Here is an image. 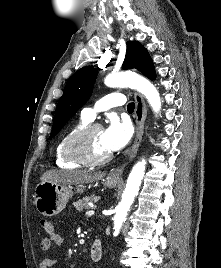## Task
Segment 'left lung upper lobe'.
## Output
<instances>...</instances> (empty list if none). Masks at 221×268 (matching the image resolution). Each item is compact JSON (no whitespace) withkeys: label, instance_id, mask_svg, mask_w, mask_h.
<instances>
[{"label":"left lung upper lobe","instance_id":"left-lung-upper-lobe-1","mask_svg":"<svg viewBox=\"0 0 221 268\" xmlns=\"http://www.w3.org/2000/svg\"><path fill=\"white\" fill-rule=\"evenodd\" d=\"M123 68H135L154 80L156 73L153 61L144 46L138 41H128ZM97 77V69L86 66L75 72L67 81L63 95L58 101L49 138L55 136L68 120L80 109L91 96Z\"/></svg>","mask_w":221,"mask_h":268}]
</instances>
